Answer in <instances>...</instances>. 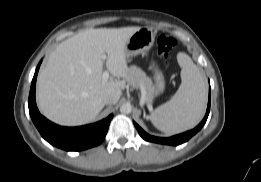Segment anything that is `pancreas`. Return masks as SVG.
Wrapping results in <instances>:
<instances>
[{
    "instance_id": "cf45deb5",
    "label": "pancreas",
    "mask_w": 261,
    "mask_h": 182,
    "mask_svg": "<svg viewBox=\"0 0 261 182\" xmlns=\"http://www.w3.org/2000/svg\"><path fill=\"white\" fill-rule=\"evenodd\" d=\"M125 79L133 88H139L141 91L145 92L146 103L152 102L155 87L153 86L151 79L146 76V73L143 70L136 66H130L128 75Z\"/></svg>"
}]
</instances>
